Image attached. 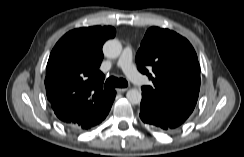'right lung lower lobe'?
Returning a JSON list of instances; mask_svg holds the SVG:
<instances>
[{
  "mask_svg": "<svg viewBox=\"0 0 244 157\" xmlns=\"http://www.w3.org/2000/svg\"><path fill=\"white\" fill-rule=\"evenodd\" d=\"M115 95H116V92L114 91V95H113V97H112V102H111V104L108 105V107H106V109H104V110L99 114V116L96 118V120L92 123V125H91L88 129H90L91 127L96 126V125L99 124V123H101V122L106 118V116L108 115V113H109V111H110V109H111L112 103H113V101H114V99H115ZM68 126H69L70 128H73V129H81V128H79V127H77V126H73V125H68Z\"/></svg>",
  "mask_w": 244,
  "mask_h": 157,
  "instance_id": "98d812e1",
  "label": "right lung lower lobe"
}]
</instances>
